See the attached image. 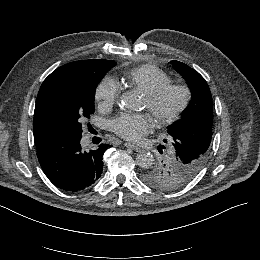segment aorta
I'll list each match as a JSON object with an SVG mask.
<instances>
[{
	"mask_svg": "<svg viewBox=\"0 0 260 260\" xmlns=\"http://www.w3.org/2000/svg\"><path fill=\"white\" fill-rule=\"evenodd\" d=\"M120 107L124 110H137V99L132 94H124L120 98ZM154 163V157L150 152H141L136 156V164L141 168L150 167Z\"/></svg>",
	"mask_w": 260,
	"mask_h": 260,
	"instance_id": "1",
	"label": "aorta"
}]
</instances>
